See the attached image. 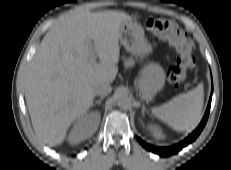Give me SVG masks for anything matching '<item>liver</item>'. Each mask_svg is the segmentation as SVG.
<instances>
[{"label":"liver","mask_w":231,"mask_h":170,"mask_svg":"<svg viewBox=\"0 0 231 170\" xmlns=\"http://www.w3.org/2000/svg\"><path fill=\"white\" fill-rule=\"evenodd\" d=\"M130 19L124 12L79 6L60 16L43 38L24 89L35 134L44 143L61 144L71 124L93 104L95 84L114 81L120 26Z\"/></svg>","instance_id":"6515ba94"}]
</instances>
